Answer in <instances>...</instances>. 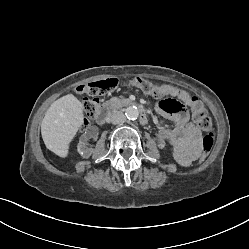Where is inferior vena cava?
<instances>
[{"mask_svg": "<svg viewBox=\"0 0 249 249\" xmlns=\"http://www.w3.org/2000/svg\"><path fill=\"white\" fill-rule=\"evenodd\" d=\"M126 121V117L122 111H115L111 115V122L113 124H122Z\"/></svg>", "mask_w": 249, "mask_h": 249, "instance_id": "1", "label": "inferior vena cava"}]
</instances>
